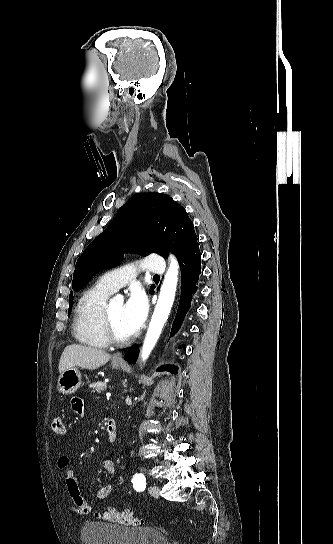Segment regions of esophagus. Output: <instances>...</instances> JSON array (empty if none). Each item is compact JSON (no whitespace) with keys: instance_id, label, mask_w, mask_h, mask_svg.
<instances>
[{"instance_id":"esophagus-1","label":"esophagus","mask_w":333,"mask_h":544,"mask_svg":"<svg viewBox=\"0 0 333 544\" xmlns=\"http://www.w3.org/2000/svg\"><path fill=\"white\" fill-rule=\"evenodd\" d=\"M113 359H114L115 361H118V362H123V361H124L123 356H122L121 353H116V354L114 355Z\"/></svg>"}]
</instances>
